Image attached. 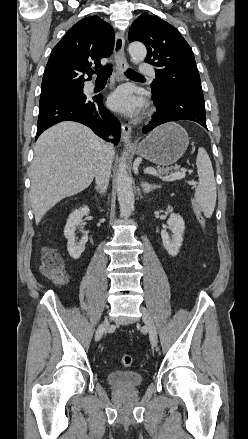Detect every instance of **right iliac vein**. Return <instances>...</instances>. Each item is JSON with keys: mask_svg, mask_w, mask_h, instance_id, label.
Listing matches in <instances>:
<instances>
[{"mask_svg": "<svg viewBox=\"0 0 248 439\" xmlns=\"http://www.w3.org/2000/svg\"><path fill=\"white\" fill-rule=\"evenodd\" d=\"M102 323L104 324V325H103V330H102V331H103L102 336H103L104 334H106V332H107V330H108L110 324H109L108 319H105ZM102 336H100V338H101Z\"/></svg>", "mask_w": 248, "mask_h": 439, "instance_id": "63e3f726", "label": "right iliac vein"}]
</instances>
